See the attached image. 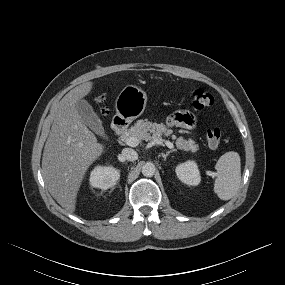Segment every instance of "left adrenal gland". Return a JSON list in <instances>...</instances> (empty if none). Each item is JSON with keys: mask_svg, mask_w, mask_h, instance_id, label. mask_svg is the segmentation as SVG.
Wrapping results in <instances>:
<instances>
[{"mask_svg": "<svg viewBox=\"0 0 285 285\" xmlns=\"http://www.w3.org/2000/svg\"><path fill=\"white\" fill-rule=\"evenodd\" d=\"M175 151H176V149L169 150V151H167L166 153H162L161 155H162V157L164 158V160H166V158L168 157V155H169L170 153H172V152H175Z\"/></svg>", "mask_w": 285, "mask_h": 285, "instance_id": "left-adrenal-gland-1", "label": "left adrenal gland"}]
</instances>
